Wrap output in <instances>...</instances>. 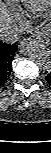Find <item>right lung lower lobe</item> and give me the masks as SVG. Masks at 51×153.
Masks as SVG:
<instances>
[{
  "mask_svg": "<svg viewBox=\"0 0 51 153\" xmlns=\"http://www.w3.org/2000/svg\"><path fill=\"white\" fill-rule=\"evenodd\" d=\"M16 44H7L0 42V87L10 76L12 71V60L17 51Z\"/></svg>",
  "mask_w": 51,
  "mask_h": 153,
  "instance_id": "1",
  "label": "right lung lower lobe"
}]
</instances>
